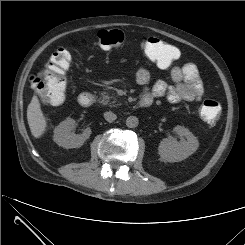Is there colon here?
Wrapping results in <instances>:
<instances>
[{
  "label": "colon",
  "instance_id": "colon-1",
  "mask_svg": "<svg viewBox=\"0 0 245 245\" xmlns=\"http://www.w3.org/2000/svg\"><path fill=\"white\" fill-rule=\"evenodd\" d=\"M126 41L121 30H103L97 35L96 44L104 49L120 46ZM143 53L160 67H168L178 59L177 49L155 37L146 38L141 44ZM69 68V57L65 50L56 51L48 61L43 76L33 75L30 84L39 97L47 104H60L64 101L67 91L66 72ZM200 116L209 127L218 121L221 106L214 99H205L199 108Z\"/></svg>",
  "mask_w": 245,
  "mask_h": 245
}]
</instances>
